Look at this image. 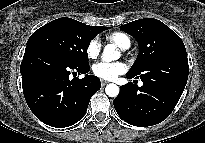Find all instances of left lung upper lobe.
<instances>
[{"mask_svg": "<svg viewBox=\"0 0 205 143\" xmlns=\"http://www.w3.org/2000/svg\"><path fill=\"white\" fill-rule=\"evenodd\" d=\"M120 28L133 36L139 46V54L128 74L139 75L159 59L177 52H186L180 37L157 19H139Z\"/></svg>", "mask_w": 205, "mask_h": 143, "instance_id": "5c2ea615", "label": "left lung upper lobe"}]
</instances>
